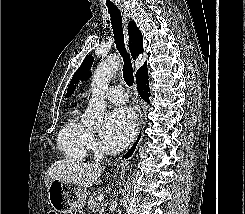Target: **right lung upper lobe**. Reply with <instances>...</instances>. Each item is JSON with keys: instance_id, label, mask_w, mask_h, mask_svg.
I'll return each mask as SVG.
<instances>
[{"instance_id": "cb5924a9", "label": "right lung upper lobe", "mask_w": 245, "mask_h": 214, "mask_svg": "<svg viewBox=\"0 0 245 214\" xmlns=\"http://www.w3.org/2000/svg\"><path fill=\"white\" fill-rule=\"evenodd\" d=\"M128 35H129V49L133 59L143 53V39L141 31L137 28L134 22H130L128 26ZM147 65L145 64L137 71L136 79L140 78L143 74L147 73Z\"/></svg>"}]
</instances>
